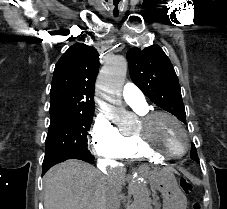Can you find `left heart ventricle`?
<instances>
[{"label":"left heart ventricle","mask_w":227,"mask_h":209,"mask_svg":"<svg viewBox=\"0 0 227 209\" xmlns=\"http://www.w3.org/2000/svg\"><path fill=\"white\" fill-rule=\"evenodd\" d=\"M135 132H140L152 147L165 154L181 152L186 143L181 129L166 116H157L144 125L139 122Z\"/></svg>","instance_id":"obj_1"}]
</instances>
